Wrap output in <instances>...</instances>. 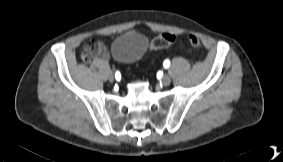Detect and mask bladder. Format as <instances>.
Returning a JSON list of instances; mask_svg holds the SVG:
<instances>
[{"label":"bladder","instance_id":"obj_1","mask_svg":"<svg viewBox=\"0 0 283 162\" xmlns=\"http://www.w3.org/2000/svg\"><path fill=\"white\" fill-rule=\"evenodd\" d=\"M147 46V38L144 35L137 32H126L114 40L111 51L116 60L130 63L141 59Z\"/></svg>","mask_w":283,"mask_h":162}]
</instances>
